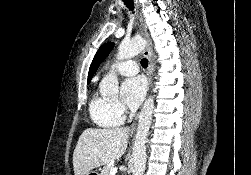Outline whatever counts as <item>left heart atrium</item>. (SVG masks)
Here are the masks:
<instances>
[{
    "label": "left heart atrium",
    "instance_id": "39dd6f15",
    "mask_svg": "<svg viewBox=\"0 0 251 175\" xmlns=\"http://www.w3.org/2000/svg\"><path fill=\"white\" fill-rule=\"evenodd\" d=\"M146 92L144 79L140 76L127 78L121 87L124 104L130 109H136L142 102Z\"/></svg>",
    "mask_w": 251,
    "mask_h": 175
}]
</instances>
